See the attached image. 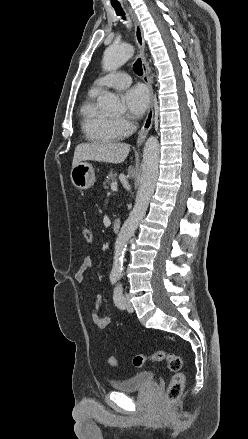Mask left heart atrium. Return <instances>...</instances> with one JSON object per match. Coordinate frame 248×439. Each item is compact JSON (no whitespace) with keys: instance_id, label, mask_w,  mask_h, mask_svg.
I'll return each instance as SVG.
<instances>
[{"instance_id":"obj_1","label":"left heart atrium","mask_w":248,"mask_h":439,"mask_svg":"<svg viewBox=\"0 0 248 439\" xmlns=\"http://www.w3.org/2000/svg\"><path fill=\"white\" fill-rule=\"evenodd\" d=\"M128 114L133 118L141 117L149 104V94L141 85L128 89L123 97Z\"/></svg>"}]
</instances>
